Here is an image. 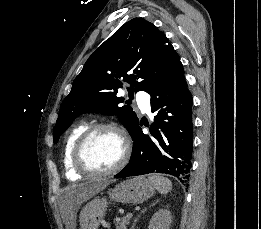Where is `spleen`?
<instances>
[{
  "mask_svg": "<svg viewBox=\"0 0 261 229\" xmlns=\"http://www.w3.org/2000/svg\"><path fill=\"white\" fill-rule=\"evenodd\" d=\"M149 179L155 183L157 191L160 193V195H167V193H170L173 187L169 179H166V177H160L158 173H150Z\"/></svg>",
  "mask_w": 261,
  "mask_h": 229,
  "instance_id": "3e777b00",
  "label": "spleen"
}]
</instances>
